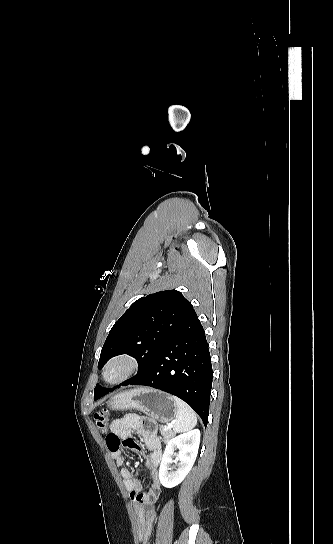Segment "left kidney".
Here are the masks:
<instances>
[{
    "instance_id": "obj_1",
    "label": "left kidney",
    "mask_w": 333,
    "mask_h": 544,
    "mask_svg": "<svg viewBox=\"0 0 333 544\" xmlns=\"http://www.w3.org/2000/svg\"><path fill=\"white\" fill-rule=\"evenodd\" d=\"M200 443V431L198 429L180 434L170 439L167 444L159 468L160 483L166 488H172L180 484L196 460ZM178 449V453L174 451ZM179 461L178 468L174 471L171 464L173 457Z\"/></svg>"
}]
</instances>
